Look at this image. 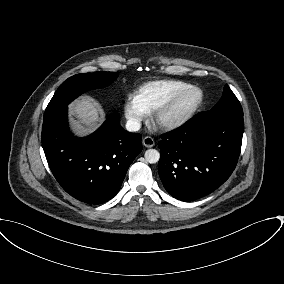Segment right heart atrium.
<instances>
[{"label":"right heart atrium","mask_w":284,"mask_h":284,"mask_svg":"<svg viewBox=\"0 0 284 284\" xmlns=\"http://www.w3.org/2000/svg\"><path fill=\"white\" fill-rule=\"evenodd\" d=\"M127 125L131 129H137L147 113L136 100L135 96H129L123 106Z\"/></svg>","instance_id":"1"}]
</instances>
